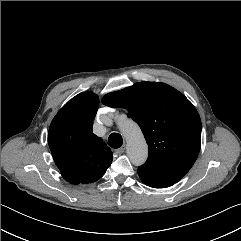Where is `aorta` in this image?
Instances as JSON below:
<instances>
[{"label": "aorta", "mask_w": 241, "mask_h": 241, "mask_svg": "<svg viewBox=\"0 0 241 241\" xmlns=\"http://www.w3.org/2000/svg\"><path fill=\"white\" fill-rule=\"evenodd\" d=\"M127 142V155L132 164L142 165L148 157V147L140 127L127 119L118 123Z\"/></svg>", "instance_id": "1"}]
</instances>
